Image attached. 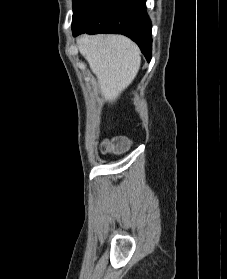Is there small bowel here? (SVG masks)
Here are the masks:
<instances>
[{"instance_id":"1","label":"small bowel","mask_w":227,"mask_h":279,"mask_svg":"<svg viewBox=\"0 0 227 279\" xmlns=\"http://www.w3.org/2000/svg\"><path fill=\"white\" fill-rule=\"evenodd\" d=\"M118 141H123V139H118Z\"/></svg>"}]
</instances>
